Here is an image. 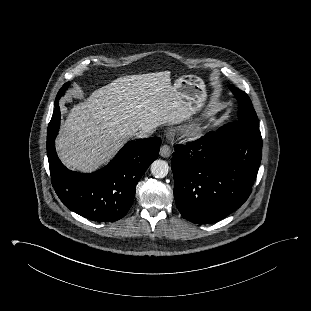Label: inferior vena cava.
Instances as JSON below:
<instances>
[{"label": "inferior vena cava", "mask_w": 311, "mask_h": 311, "mask_svg": "<svg viewBox=\"0 0 311 311\" xmlns=\"http://www.w3.org/2000/svg\"><path fill=\"white\" fill-rule=\"evenodd\" d=\"M152 132L153 131L151 130H141V131L135 132L133 136L137 138H147L150 136V134H152Z\"/></svg>", "instance_id": "obj_1"}]
</instances>
